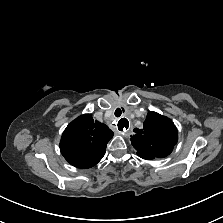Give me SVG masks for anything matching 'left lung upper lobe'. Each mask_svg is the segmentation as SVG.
Returning a JSON list of instances; mask_svg holds the SVG:
<instances>
[{
  "mask_svg": "<svg viewBox=\"0 0 223 223\" xmlns=\"http://www.w3.org/2000/svg\"><path fill=\"white\" fill-rule=\"evenodd\" d=\"M131 143L143 159L168 156L178 141L177 128L168 117L150 111L143 128H135Z\"/></svg>",
  "mask_w": 223,
  "mask_h": 223,
  "instance_id": "1",
  "label": "left lung upper lobe"
}]
</instances>
